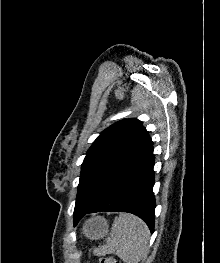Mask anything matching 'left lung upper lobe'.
Wrapping results in <instances>:
<instances>
[{
	"label": "left lung upper lobe",
	"instance_id": "1",
	"mask_svg": "<svg viewBox=\"0 0 220 263\" xmlns=\"http://www.w3.org/2000/svg\"><path fill=\"white\" fill-rule=\"evenodd\" d=\"M152 146L138 119H124L102 131L82 163L75 210L90 208Z\"/></svg>",
	"mask_w": 220,
	"mask_h": 263
}]
</instances>
